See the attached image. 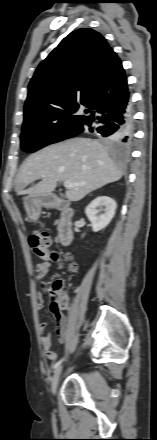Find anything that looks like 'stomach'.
I'll list each match as a JSON object with an SVG mask.
<instances>
[{"mask_svg":"<svg viewBox=\"0 0 157 440\" xmlns=\"http://www.w3.org/2000/svg\"><path fill=\"white\" fill-rule=\"evenodd\" d=\"M45 205H47V201L43 195H29L24 199L26 212L32 220H36L39 217L40 209Z\"/></svg>","mask_w":157,"mask_h":440,"instance_id":"stomach-1","label":"stomach"}]
</instances>
